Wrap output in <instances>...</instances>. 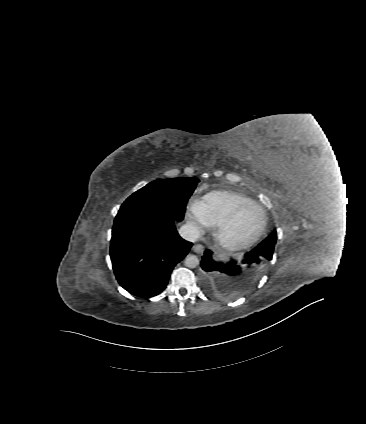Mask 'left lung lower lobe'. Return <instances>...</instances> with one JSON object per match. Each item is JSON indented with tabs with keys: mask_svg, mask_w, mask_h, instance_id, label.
Segmentation results:
<instances>
[{
	"mask_svg": "<svg viewBox=\"0 0 366 424\" xmlns=\"http://www.w3.org/2000/svg\"><path fill=\"white\" fill-rule=\"evenodd\" d=\"M214 254L211 250L207 249L202 257L201 267L203 269L204 278L207 285L216 290L218 287L224 288L223 283H218L215 280V275L219 273H226L228 275H237L241 272V267L236 260L231 259L228 263L215 261ZM261 256L255 251V248L250 252L246 253L242 264H247L248 268L256 269L260 264Z\"/></svg>",
	"mask_w": 366,
	"mask_h": 424,
	"instance_id": "1",
	"label": "left lung lower lobe"
}]
</instances>
